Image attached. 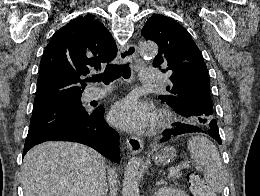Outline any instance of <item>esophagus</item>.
Segmentation results:
<instances>
[{"mask_svg":"<svg viewBox=\"0 0 260 196\" xmlns=\"http://www.w3.org/2000/svg\"><path fill=\"white\" fill-rule=\"evenodd\" d=\"M136 54V46L134 44H128L124 48H122L119 52V58L122 62L130 61ZM126 143L128 145L129 150L131 153H140L143 148L144 144L143 141L135 136H129L126 138Z\"/></svg>","mask_w":260,"mask_h":196,"instance_id":"1","label":"esophagus"}]
</instances>
